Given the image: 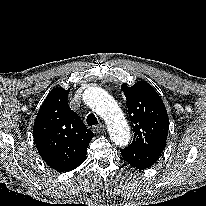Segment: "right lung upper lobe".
<instances>
[{"label":"right lung upper lobe","instance_id":"right-lung-upper-lobe-1","mask_svg":"<svg viewBox=\"0 0 206 206\" xmlns=\"http://www.w3.org/2000/svg\"><path fill=\"white\" fill-rule=\"evenodd\" d=\"M70 89L54 88L43 102L33 126L38 153L58 172L71 171L86 159L94 137L80 117L70 109Z\"/></svg>","mask_w":206,"mask_h":206}]
</instances>
